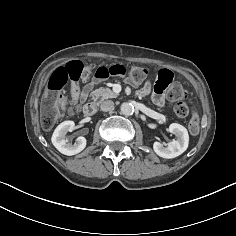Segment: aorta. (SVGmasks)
Wrapping results in <instances>:
<instances>
[{
    "instance_id": "1",
    "label": "aorta",
    "mask_w": 236,
    "mask_h": 236,
    "mask_svg": "<svg viewBox=\"0 0 236 236\" xmlns=\"http://www.w3.org/2000/svg\"><path fill=\"white\" fill-rule=\"evenodd\" d=\"M120 109L123 115H131L134 112L133 105L127 102L123 103Z\"/></svg>"
}]
</instances>
